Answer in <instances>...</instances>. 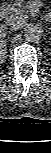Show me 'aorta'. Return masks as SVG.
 Instances as JSON below:
<instances>
[{
	"instance_id": "762f6f07",
	"label": "aorta",
	"mask_w": 51,
	"mask_h": 153,
	"mask_svg": "<svg viewBox=\"0 0 51 153\" xmlns=\"http://www.w3.org/2000/svg\"><path fill=\"white\" fill-rule=\"evenodd\" d=\"M43 34V29L39 24H29L24 30V37L29 42L38 41Z\"/></svg>"
}]
</instances>
